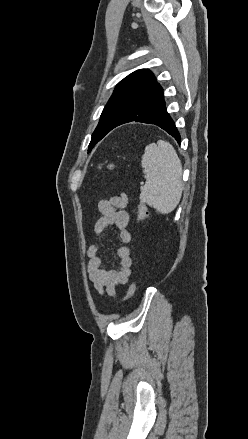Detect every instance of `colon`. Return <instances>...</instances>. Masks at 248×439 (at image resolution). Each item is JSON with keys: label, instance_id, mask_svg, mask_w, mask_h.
<instances>
[{"label": "colon", "instance_id": "5ec220e1", "mask_svg": "<svg viewBox=\"0 0 248 439\" xmlns=\"http://www.w3.org/2000/svg\"><path fill=\"white\" fill-rule=\"evenodd\" d=\"M108 167L110 169L114 168L113 165H109ZM137 209H138L139 223L146 221L149 217V211H148L147 207L145 206V204L141 201H138ZM135 291H136V283L133 281L127 289L126 296H125L126 300H130L133 297Z\"/></svg>", "mask_w": 248, "mask_h": 439}]
</instances>
